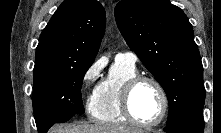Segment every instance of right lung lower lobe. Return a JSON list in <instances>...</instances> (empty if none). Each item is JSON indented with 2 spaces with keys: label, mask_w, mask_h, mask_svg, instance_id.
<instances>
[{
  "label": "right lung lower lobe",
  "mask_w": 221,
  "mask_h": 133,
  "mask_svg": "<svg viewBox=\"0 0 221 133\" xmlns=\"http://www.w3.org/2000/svg\"><path fill=\"white\" fill-rule=\"evenodd\" d=\"M55 124L54 122L45 124V126L43 128H37L39 133H46L48 131V129Z\"/></svg>",
  "instance_id": "98d812e1"
}]
</instances>
